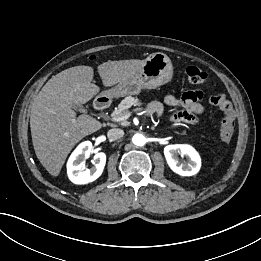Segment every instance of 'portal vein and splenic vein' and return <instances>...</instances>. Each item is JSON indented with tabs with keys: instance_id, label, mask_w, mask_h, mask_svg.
I'll return each instance as SVG.
<instances>
[{
	"instance_id": "1",
	"label": "portal vein and splenic vein",
	"mask_w": 261,
	"mask_h": 261,
	"mask_svg": "<svg viewBox=\"0 0 261 261\" xmlns=\"http://www.w3.org/2000/svg\"><path fill=\"white\" fill-rule=\"evenodd\" d=\"M129 115H130V114H128V115H126V116H124V117H115V116L112 115L111 119H112V121H114V122H120V121H122L124 118H128Z\"/></svg>"
}]
</instances>
